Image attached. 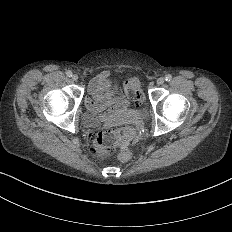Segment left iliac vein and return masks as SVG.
Here are the masks:
<instances>
[{"mask_svg": "<svg viewBox=\"0 0 232 232\" xmlns=\"http://www.w3.org/2000/svg\"><path fill=\"white\" fill-rule=\"evenodd\" d=\"M165 83V78L164 77H159L156 81H155V84L157 86H160L161 84H164Z\"/></svg>", "mask_w": 232, "mask_h": 232, "instance_id": "1", "label": "left iliac vein"}]
</instances>
